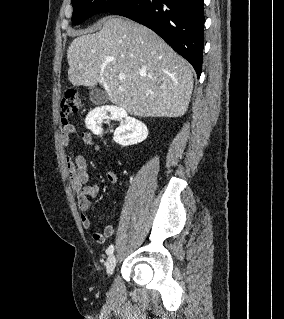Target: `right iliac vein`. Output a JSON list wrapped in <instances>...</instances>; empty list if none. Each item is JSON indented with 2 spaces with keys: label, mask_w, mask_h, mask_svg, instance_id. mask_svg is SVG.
<instances>
[{
  "label": "right iliac vein",
  "mask_w": 284,
  "mask_h": 319,
  "mask_svg": "<svg viewBox=\"0 0 284 319\" xmlns=\"http://www.w3.org/2000/svg\"><path fill=\"white\" fill-rule=\"evenodd\" d=\"M116 256L114 254H111L106 262V272L108 275H111L114 271V268L116 266Z\"/></svg>",
  "instance_id": "63e3f726"
}]
</instances>
